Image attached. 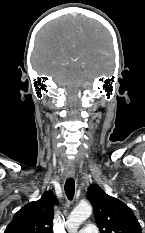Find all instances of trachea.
<instances>
[{
  "mask_svg": "<svg viewBox=\"0 0 145 233\" xmlns=\"http://www.w3.org/2000/svg\"><path fill=\"white\" fill-rule=\"evenodd\" d=\"M65 193L69 200H72L75 193V182L72 178L65 182Z\"/></svg>",
  "mask_w": 145,
  "mask_h": 233,
  "instance_id": "3493384b",
  "label": "trachea"
}]
</instances>
